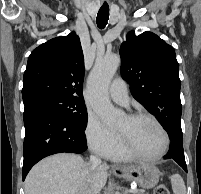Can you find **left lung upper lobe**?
Returning a JSON list of instances; mask_svg holds the SVG:
<instances>
[{"instance_id": "1", "label": "left lung upper lobe", "mask_w": 201, "mask_h": 194, "mask_svg": "<svg viewBox=\"0 0 201 194\" xmlns=\"http://www.w3.org/2000/svg\"><path fill=\"white\" fill-rule=\"evenodd\" d=\"M121 74L133 97L165 128L180 122L179 64L172 46L152 32H129L120 47Z\"/></svg>"}]
</instances>
